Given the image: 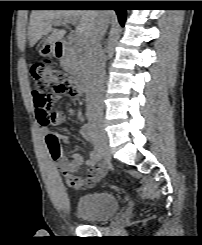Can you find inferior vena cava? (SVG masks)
Listing matches in <instances>:
<instances>
[{
    "mask_svg": "<svg viewBox=\"0 0 202 245\" xmlns=\"http://www.w3.org/2000/svg\"><path fill=\"white\" fill-rule=\"evenodd\" d=\"M109 20L101 13L97 15V22L90 33L85 50V69L87 81L86 109L89 115H102L105 66L101 42L108 28Z\"/></svg>",
    "mask_w": 202,
    "mask_h": 245,
    "instance_id": "inferior-vena-cava-1",
    "label": "inferior vena cava"
}]
</instances>
